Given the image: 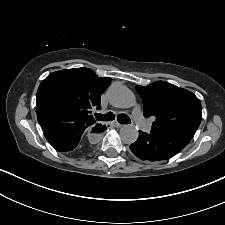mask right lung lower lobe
<instances>
[{"mask_svg":"<svg viewBox=\"0 0 225 225\" xmlns=\"http://www.w3.org/2000/svg\"><path fill=\"white\" fill-rule=\"evenodd\" d=\"M38 122L47 141L58 152L72 155H83L86 147L81 138L91 130V133L102 132V125L91 124L87 119L54 109L37 107Z\"/></svg>","mask_w":225,"mask_h":225,"instance_id":"obj_1","label":"right lung lower lobe"}]
</instances>
